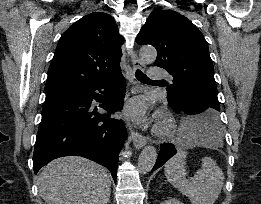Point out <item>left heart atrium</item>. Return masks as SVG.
<instances>
[{"mask_svg":"<svg viewBox=\"0 0 261 204\" xmlns=\"http://www.w3.org/2000/svg\"><path fill=\"white\" fill-rule=\"evenodd\" d=\"M126 116L136 123H143L147 120V103L141 97L132 99L126 106Z\"/></svg>","mask_w":261,"mask_h":204,"instance_id":"39dd6f15","label":"left heart atrium"}]
</instances>
